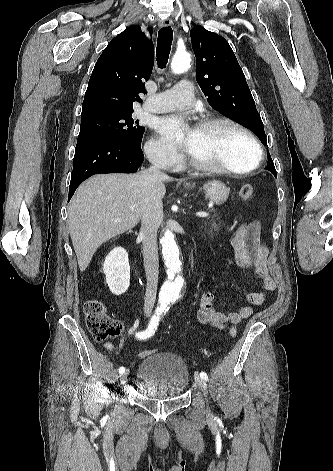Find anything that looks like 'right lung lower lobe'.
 <instances>
[{"instance_id": "98d812e1", "label": "right lung lower lobe", "mask_w": 333, "mask_h": 471, "mask_svg": "<svg viewBox=\"0 0 333 471\" xmlns=\"http://www.w3.org/2000/svg\"><path fill=\"white\" fill-rule=\"evenodd\" d=\"M143 161L141 146L106 136L79 138L68 201L76 188L90 176L98 173H134Z\"/></svg>"}]
</instances>
